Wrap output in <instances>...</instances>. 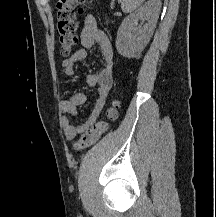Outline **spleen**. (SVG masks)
<instances>
[{
	"label": "spleen",
	"instance_id": "3e777b00",
	"mask_svg": "<svg viewBox=\"0 0 216 217\" xmlns=\"http://www.w3.org/2000/svg\"><path fill=\"white\" fill-rule=\"evenodd\" d=\"M145 0H121V9L124 13H130L139 7Z\"/></svg>",
	"mask_w": 216,
	"mask_h": 217
}]
</instances>
